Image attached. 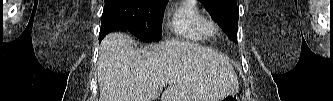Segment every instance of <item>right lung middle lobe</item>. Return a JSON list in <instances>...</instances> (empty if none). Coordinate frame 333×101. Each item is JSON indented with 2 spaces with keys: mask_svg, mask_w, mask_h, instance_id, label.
<instances>
[{
  "mask_svg": "<svg viewBox=\"0 0 333 101\" xmlns=\"http://www.w3.org/2000/svg\"><path fill=\"white\" fill-rule=\"evenodd\" d=\"M168 0H105L104 12L122 23L117 31H129L141 41H159L162 13Z\"/></svg>",
  "mask_w": 333,
  "mask_h": 101,
  "instance_id": "obj_1",
  "label": "right lung middle lobe"
}]
</instances>
